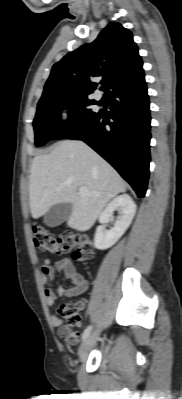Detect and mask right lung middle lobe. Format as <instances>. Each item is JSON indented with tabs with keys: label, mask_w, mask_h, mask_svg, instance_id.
Listing matches in <instances>:
<instances>
[{
	"label": "right lung middle lobe",
	"mask_w": 182,
	"mask_h": 399,
	"mask_svg": "<svg viewBox=\"0 0 182 399\" xmlns=\"http://www.w3.org/2000/svg\"><path fill=\"white\" fill-rule=\"evenodd\" d=\"M94 103L87 95L57 96L39 101L33 123L35 145L42 146L51 139H60L71 131L81 130L95 115L90 109ZM63 109H69L67 122L61 120Z\"/></svg>",
	"instance_id": "obj_1"
}]
</instances>
